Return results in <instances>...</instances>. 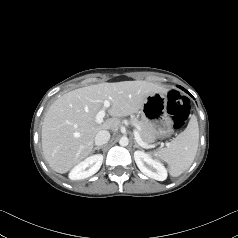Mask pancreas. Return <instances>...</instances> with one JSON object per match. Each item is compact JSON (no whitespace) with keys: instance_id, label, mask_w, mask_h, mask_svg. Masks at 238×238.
I'll list each match as a JSON object with an SVG mask.
<instances>
[{"instance_id":"pancreas-1","label":"pancreas","mask_w":238,"mask_h":238,"mask_svg":"<svg viewBox=\"0 0 238 238\" xmlns=\"http://www.w3.org/2000/svg\"><path fill=\"white\" fill-rule=\"evenodd\" d=\"M130 123L137 127L141 139L146 144L153 143L156 139V130L149 126L144 121H139L135 118L130 120Z\"/></svg>"}]
</instances>
